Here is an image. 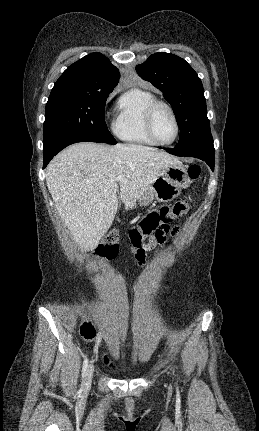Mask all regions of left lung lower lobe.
<instances>
[{
    "mask_svg": "<svg viewBox=\"0 0 259 431\" xmlns=\"http://www.w3.org/2000/svg\"><path fill=\"white\" fill-rule=\"evenodd\" d=\"M165 150L177 156H189L196 157L205 161L212 171H214V147L209 146H195L189 148H181L176 146L175 148H165Z\"/></svg>",
    "mask_w": 259,
    "mask_h": 431,
    "instance_id": "obj_1",
    "label": "left lung lower lobe"
}]
</instances>
